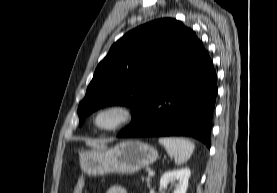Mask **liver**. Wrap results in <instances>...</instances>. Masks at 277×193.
<instances>
[{
  "label": "liver",
  "instance_id": "6515ba94",
  "mask_svg": "<svg viewBox=\"0 0 277 193\" xmlns=\"http://www.w3.org/2000/svg\"><path fill=\"white\" fill-rule=\"evenodd\" d=\"M86 143L88 145L92 146L93 148H103V147H105L104 144H99L98 142L87 141Z\"/></svg>",
  "mask_w": 277,
  "mask_h": 193
}]
</instances>
